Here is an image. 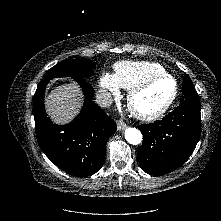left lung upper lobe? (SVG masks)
I'll return each instance as SVG.
<instances>
[{"instance_id":"1","label":"left lung upper lobe","mask_w":221,"mask_h":221,"mask_svg":"<svg viewBox=\"0 0 221 221\" xmlns=\"http://www.w3.org/2000/svg\"><path fill=\"white\" fill-rule=\"evenodd\" d=\"M180 105L200 106L199 96L194 88L190 77L187 74L184 76Z\"/></svg>"}]
</instances>
